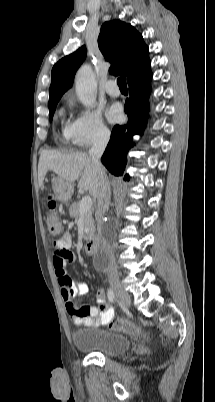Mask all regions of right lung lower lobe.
<instances>
[{
	"mask_svg": "<svg viewBox=\"0 0 215 402\" xmlns=\"http://www.w3.org/2000/svg\"><path fill=\"white\" fill-rule=\"evenodd\" d=\"M152 75L129 83V99L125 102L128 122L114 126L110 141L101 158L102 163L114 175H122L127 162L126 155L133 146L132 136L141 134L149 118L148 98L151 93ZM125 179H129L128 174Z\"/></svg>",
	"mask_w": 215,
	"mask_h": 402,
	"instance_id": "right-lung-lower-lobe-1",
	"label": "right lung lower lobe"
}]
</instances>
